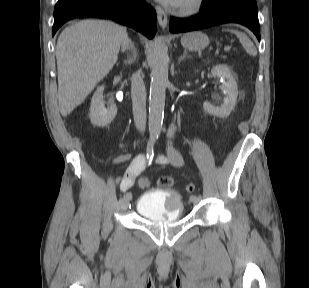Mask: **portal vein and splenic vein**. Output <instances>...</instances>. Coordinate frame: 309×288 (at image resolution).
<instances>
[{
	"label": "portal vein and splenic vein",
	"mask_w": 309,
	"mask_h": 288,
	"mask_svg": "<svg viewBox=\"0 0 309 288\" xmlns=\"http://www.w3.org/2000/svg\"><path fill=\"white\" fill-rule=\"evenodd\" d=\"M230 50H231V47H229V46H225V47H224V51L228 52V51H230Z\"/></svg>",
	"instance_id": "obj_1"
}]
</instances>
